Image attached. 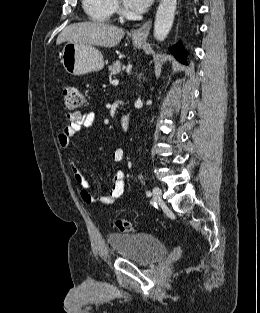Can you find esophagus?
I'll use <instances>...</instances> for the list:
<instances>
[{"instance_id": "esophagus-1", "label": "esophagus", "mask_w": 260, "mask_h": 313, "mask_svg": "<svg viewBox=\"0 0 260 313\" xmlns=\"http://www.w3.org/2000/svg\"><path fill=\"white\" fill-rule=\"evenodd\" d=\"M152 26V19L147 20L141 27L135 29L132 38L136 41H146Z\"/></svg>"}]
</instances>
